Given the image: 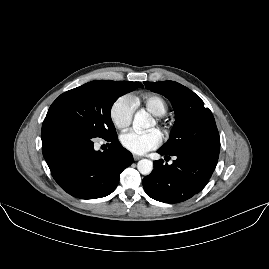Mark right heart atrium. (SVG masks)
<instances>
[{
    "label": "right heart atrium",
    "instance_id": "d8ad5b80",
    "mask_svg": "<svg viewBox=\"0 0 269 269\" xmlns=\"http://www.w3.org/2000/svg\"><path fill=\"white\" fill-rule=\"evenodd\" d=\"M134 110V99L130 95H122L110 106L109 118L115 128L124 130L132 122Z\"/></svg>",
    "mask_w": 269,
    "mask_h": 269
}]
</instances>
